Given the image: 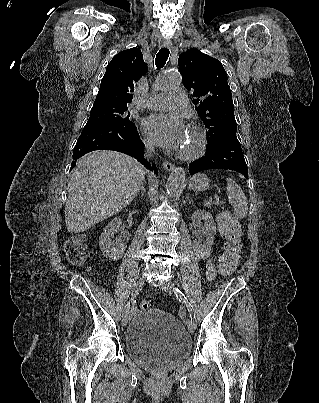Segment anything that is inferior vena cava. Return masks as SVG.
Segmentation results:
<instances>
[{"mask_svg": "<svg viewBox=\"0 0 319 403\" xmlns=\"http://www.w3.org/2000/svg\"><path fill=\"white\" fill-rule=\"evenodd\" d=\"M154 153V144L147 141L145 142V156L150 158Z\"/></svg>", "mask_w": 319, "mask_h": 403, "instance_id": "inferior-vena-cava-1", "label": "inferior vena cava"}]
</instances>
